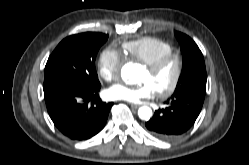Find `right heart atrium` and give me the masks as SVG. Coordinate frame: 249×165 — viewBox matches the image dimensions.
Wrapping results in <instances>:
<instances>
[{
	"label": "right heart atrium",
	"mask_w": 249,
	"mask_h": 165,
	"mask_svg": "<svg viewBox=\"0 0 249 165\" xmlns=\"http://www.w3.org/2000/svg\"><path fill=\"white\" fill-rule=\"evenodd\" d=\"M122 62L121 55L115 48H105L98 58V75L107 82L116 79L120 73Z\"/></svg>",
	"instance_id": "1"
}]
</instances>
